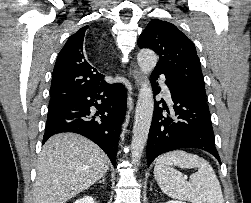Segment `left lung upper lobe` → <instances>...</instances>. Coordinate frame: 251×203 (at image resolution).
Instances as JSON below:
<instances>
[{
    "label": "left lung upper lobe",
    "mask_w": 251,
    "mask_h": 203,
    "mask_svg": "<svg viewBox=\"0 0 251 203\" xmlns=\"http://www.w3.org/2000/svg\"><path fill=\"white\" fill-rule=\"evenodd\" d=\"M140 48L153 49L159 55L155 69L187 87L206 100L200 60L193 42L169 22L152 20L138 40Z\"/></svg>",
    "instance_id": "1"
}]
</instances>
